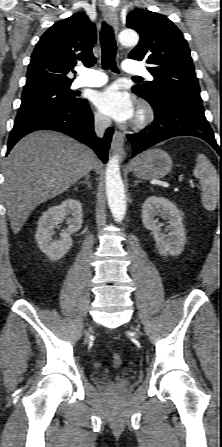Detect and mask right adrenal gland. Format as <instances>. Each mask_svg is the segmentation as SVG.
<instances>
[{
    "label": "right adrenal gland",
    "mask_w": 222,
    "mask_h": 447,
    "mask_svg": "<svg viewBox=\"0 0 222 447\" xmlns=\"http://www.w3.org/2000/svg\"><path fill=\"white\" fill-rule=\"evenodd\" d=\"M89 178H90L89 175H85V180L84 181H80L78 184L85 183L89 188H91V183H90Z\"/></svg>",
    "instance_id": "right-adrenal-gland-1"
}]
</instances>
